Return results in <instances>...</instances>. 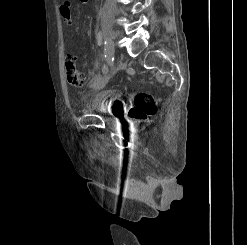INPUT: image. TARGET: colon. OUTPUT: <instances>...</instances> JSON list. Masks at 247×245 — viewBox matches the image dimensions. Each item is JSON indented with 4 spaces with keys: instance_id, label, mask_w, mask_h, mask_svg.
I'll use <instances>...</instances> for the list:
<instances>
[{
    "instance_id": "colon-1",
    "label": "colon",
    "mask_w": 247,
    "mask_h": 245,
    "mask_svg": "<svg viewBox=\"0 0 247 245\" xmlns=\"http://www.w3.org/2000/svg\"><path fill=\"white\" fill-rule=\"evenodd\" d=\"M66 78L70 85L81 87L86 82V75L78 70L76 65V58L68 55L65 61ZM157 107V100L152 95L140 92L134 98V108L130 115L135 119H145L155 113Z\"/></svg>"
}]
</instances>
